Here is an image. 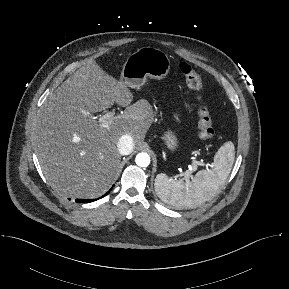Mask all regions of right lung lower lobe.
<instances>
[{
    "mask_svg": "<svg viewBox=\"0 0 289 289\" xmlns=\"http://www.w3.org/2000/svg\"><path fill=\"white\" fill-rule=\"evenodd\" d=\"M109 193V191L105 194V195H107ZM104 195V196H105ZM96 199H94V200H87V199H77L76 201L77 202H81V203H88V202H92V201H95Z\"/></svg>",
    "mask_w": 289,
    "mask_h": 289,
    "instance_id": "obj_1",
    "label": "right lung lower lobe"
}]
</instances>
